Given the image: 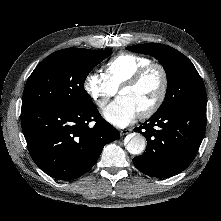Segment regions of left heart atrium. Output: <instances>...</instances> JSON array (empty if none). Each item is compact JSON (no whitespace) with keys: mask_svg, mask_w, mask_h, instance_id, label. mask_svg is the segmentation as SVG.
Wrapping results in <instances>:
<instances>
[{"mask_svg":"<svg viewBox=\"0 0 221 221\" xmlns=\"http://www.w3.org/2000/svg\"><path fill=\"white\" fill-rule=\"evenodd\" d=\"M137 114L132 102L121 95L111 102L103 112L104 118L117 127L127 126L136 118Z\"/></svg>","mask_w":221,"mask_h":221,"instance_id":"left-heart-atrium-1","label":"left heart atrium"}]
</instances>
